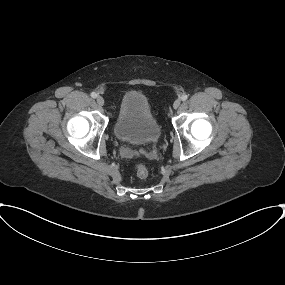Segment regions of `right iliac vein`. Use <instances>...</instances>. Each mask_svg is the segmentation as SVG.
Wrapping results in <instances>:
<instances>
[{"instance_id": "1", "label": "right iliac vein", "mask_w": 285, "mask_h": 285, "mask_svg": "<svg viewBox=\"0 0 285 285\" xmlns=\"http://www.w3.org/2000/svg\"><path fill=\"white\" fill-rule=\"evenodd\" d=\"M96 101H97V104H98L99 106H103V105H104V99H103L101 96H98V97L96 98Z\"/></svg>"}]
</instances>
